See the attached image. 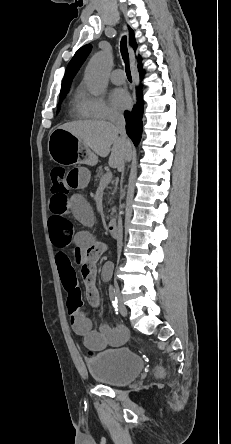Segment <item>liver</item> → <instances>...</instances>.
I'll use <instances>...</instances> for the list:
<instances>
[{"instance_id":"6515ba94","label":"liver","mask_w":231,"mask_h":444,"mask_svg":"<svg viewBox=\"0 0 231 444\" xmlns=\"http://www.w3.org/2000/svg\"><path fill=\"white\" fill-rule=\"evenodd\" d=\"M59 128L79 138L86 147L101 157H107L111 152L109 165L118 170L125 165L131 153L130 141L127 143L121 139L112 123L105 121H74L63 124Z\"/></svg>"}]
</instances>
